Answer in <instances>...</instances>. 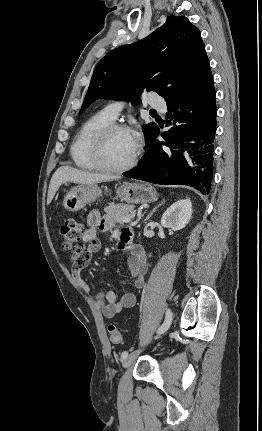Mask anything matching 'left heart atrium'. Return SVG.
<instances>
[{"instance_id":"1","label":"left heart atrium","mask_w":262,"mask_h":431,"mask_svg":"<svg viewBox=\"0 0 262 431\" xmlns=\"http://www.w3.org/2000/svg\"><path fill=\"white\" fill-rule=\"evenodd\" d=\"M130 134H131V137H132L134 145L137 147L138 144H139V135H138V133L135 132V131H132V132H130Z\"/></svg>"}]
</instances>
